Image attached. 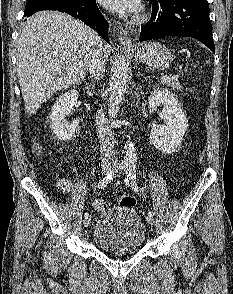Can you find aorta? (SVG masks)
<instances>
[{
    "instance_id": "1",
    "label": "aorta",
    "mask_w": 233,
    "mask_h": 294,
    "mask_svg": "<svg viewBox=\"0 0 233 294\" xmlns=\"http://www.w3.org/2000/svg\"><path fill=\"white\" fill-rule=\"evenodd\" d=\"M129 79V62L128 56L125 52L119 54L115 63L112 78L110 81V95L108 103L109 122L111 128L113 126V119L118 114L120 104L123 101L126 92V85ZM137 161L135 148L132 144L125 145L124 163L127 166L134 167Z\"/></svg>"
}]
</instances>
